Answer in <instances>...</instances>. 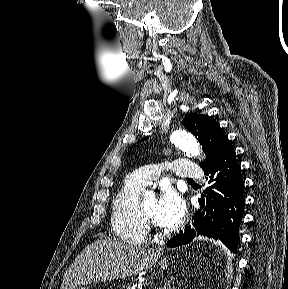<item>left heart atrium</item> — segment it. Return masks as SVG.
<instances>
[{"label":"left heart atrium","mask_w":288,"mask_h":289,"mask_svg":"<svg viewBox=\"0 0 288 289\" xmlns=\"http://www.w3.org/2000/svg\"><path fill=\"white\" fill-rule=\"evenodd\" d=\"M185 204L172 188L165 187L157 200L156 223L164 227H176L182 221Z\"/></svg>","instance_id":"obj_1"}]
</instances>
